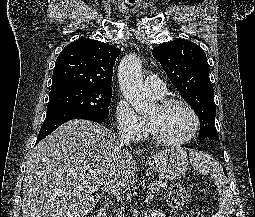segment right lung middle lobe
<instances>
[{
  "mask_svg": "<svg viewBox=\"0 0 255 217\" xmlns=\"http://www.w3.org/2000/svg\"><path fill=\"white\" fill-rule=\"evenodd\" d=\"M112 98V89L65 84L51 87L47 111L55 108H68L87 112L106 119Z\"/></svg>",
  "mask_w": 255,
  "mask_h": 217,
  "instance_id": "obj_1",
  "label": "right lung middle lobe"
}]
</instances>
